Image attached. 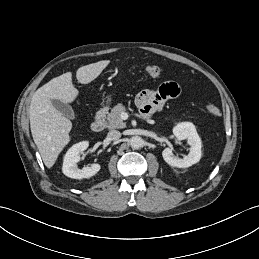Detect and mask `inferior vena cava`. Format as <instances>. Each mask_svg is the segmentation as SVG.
Instances as JSON below:
<instances>
[{"label": "inferior vena cava", "mask_w": 259, "mask_h": 259, "mask_svg": "<svg viewBox=\"0 0 259 259\" xmlns=\"http://www.w3.org/2000/svg\"><path fill=\"white\" fill-rule=\"evenodd\" d=\"M107 137L109 140L115 141L121 137V133L117 130H111L108 132Z\"/></svg>", "instance_id": "602c4592"}]
</instances>
